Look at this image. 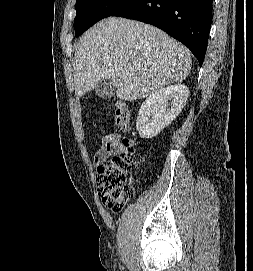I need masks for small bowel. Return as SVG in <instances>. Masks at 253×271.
<instances>
[{
	"instance_id": "c3829d8e",
	"label": "small bowel",
	"mask_w": 253,
	"mask_h": 271,
	"mask_svg": "<svg viewBox=\"0 0 253 271\" xmlns=\"http://www.w3.org/2000/svg\"><path fill=\"white\" fill-rule=\"evenodd\" d=\"M124 150L120 143V135L109 133L101 140V148L96 152L94 157L95 165H98L109 154L120 153Z\"/></svg>"
}]
</instances>
